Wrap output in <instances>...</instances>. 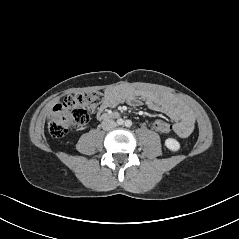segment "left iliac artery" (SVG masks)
<instances>
[{
  "instance_id": "left-iliac-artery-1",
  "label": "left iliac artery",
  "mask_w": 239,
  "mask_h": 239,
  "mask_svg": "<svg viewBox=\"0 0 239 239\" xmlns=\"http://www.w3.org/2000/svg\"><path fill=\"white\" fill-rule=\"evenodd\" d=\"M125 126L126 127H131L132 126V121L131 120H126Z\"/></svg>"
}]
</instances>
